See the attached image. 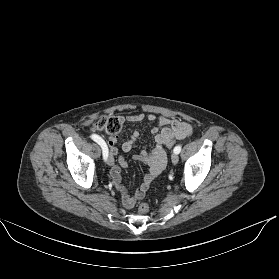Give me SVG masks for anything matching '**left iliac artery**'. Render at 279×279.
Segmentation results:
<instances>
[{
    "mask_svg": "<svg viewBox=\"0 0 279 279\" xmlns=\"http://www.w3.org/2000/svg\"><path fill=\"white\" fill-rule=\"evenodd\" d=\"M180 151H181V145H177V146L174 148V153L179 154Z\"/></svg>",
    "mask_w": 279,
    "mask_h": 279,
    "instance_id": "obj_1",
    "label": "left iliac artery"
}]
</instances>
